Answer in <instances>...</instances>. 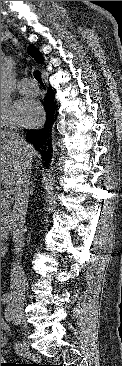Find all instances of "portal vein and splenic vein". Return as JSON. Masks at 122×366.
<instances>
[{
	"instance_id": "18ae733b",
	"label": "portal vein and splenic vein",
	"mask_w": 122,
	"mask_h": 366,
	"mask_svg": "<svg viewBox=\"0 0 122 366\" xmlns=\"http://www.w3.org/2000/svg\"><path fill=\"white\" fill-rule=\"evenodd\" d=\"M1 198H3V199H9L10 198V195L6 191H4V192L1 191Z\"/></svg>"
}]
</instances>
